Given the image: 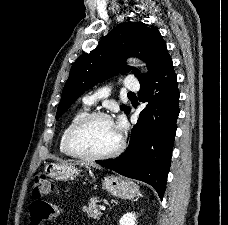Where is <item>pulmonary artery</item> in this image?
I'll use <instances>...</instances> for the list:
<instances>
[{"mask_svg":"<svg viewBox=\"0 0 228 225\" xmlns=\"http://www.w3.org/2000/svg\"><path fill=\"white\" fill-rule=\"evenodd\" d=\"M125 78V77H124ZM126 80H135V75H126ZM140 81H121L120 85L124 86V90H140ZM100 93V90H97ZM102 96L99 94H89L83 97L82 102L86 106H93Z\"/></svg>","mask_w":228,"mask_h":225,"instance_id":"pulmonary-artery-1","label":"pulmonary artery"}]
</instances>
